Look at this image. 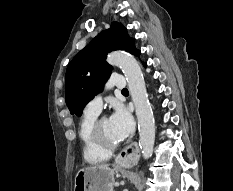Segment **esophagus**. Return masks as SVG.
I'll use <instances>...</instances> for the list:
<instances>
[{"instance_id": "34e87169", "label": "esophagus", "mask_w": 233, "mask_h": 191, "mask_svg": "<svg viewBox=\"0 0 233 191\" xmlns=\"http://www.w3.org/2000/svg\"><path fill=\"white\" fill-rule=\"evenodd\" d=\"M138 156V148L136 144H131L124 148L116 157L118 163H134Z\"/></svg>"}]
</instances>
